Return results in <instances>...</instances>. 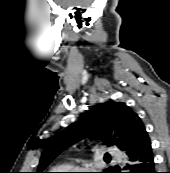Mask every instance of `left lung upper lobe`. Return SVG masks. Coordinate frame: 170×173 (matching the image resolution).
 Masks as SVG:
<instances>
[{"instance_id": "obj_1", "label": "left lung upper lobe", "mask_w": 170, "mask_h": 173, "mask_svg": "<svg viewBox=\"0 0 170 173\" xmlns=\"http://www.w3.org/2000/svg\"><path fill=\"white\" fill-rule=\"evenodd\" d=\"M86 136L102 137L108 146L116 145L125 153L150 141L141 119L125 103L97 104L80 120L47 142L36 173H44L43 170L57 155ZM113 171L109 167L102 173Z\"/></svg>"}]
</instances>
